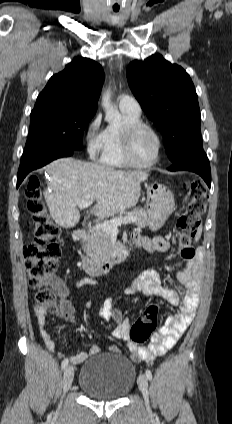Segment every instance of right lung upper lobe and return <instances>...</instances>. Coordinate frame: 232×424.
<instances>
[{"label": "right lung upper lobe", "instance_id": "right-lung-upper-lobe-1", "mask_svg": "<svg viewBox=\"0 0 232 424\" xmlns=\"http://www.w3.org/2000/svg\"><path fill=\"white\" fill-rule=\"evenodd\" d=\"M103 81L104 71L97 62L77 57L49 79L34 109L70 106L96 113Z\"/></svg>", "mask_w": 232, "mask_h": 424}]
</instances>
